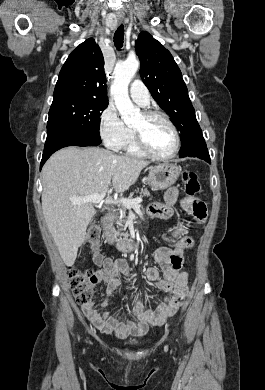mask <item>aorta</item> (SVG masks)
<instances>
[{"mask_svg": "<svg viewBox=\"0 0 265 390\" xmlns=\"http://www.w3.org/2000/svg\"><path fill=\"white\" fill-rule=\"evenodd\" d=\"M138 68V60L127 59L117 63L114 69V82L110 91L121 118L127 125L136 122L141 116L140 109L133 105L128 94V85Z\"/></svg>", "mask_w": 265, "mask_h": 390, "instance_id": "1", "label": "aorta"}]
</instances>
